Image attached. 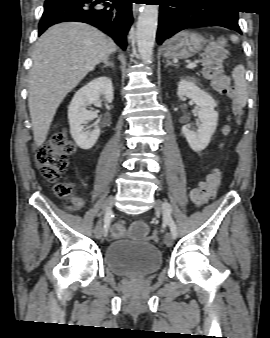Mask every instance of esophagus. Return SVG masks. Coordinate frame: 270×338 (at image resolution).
Returning a JSON list of instances; mask_svg holds the SVG:
<instances>
[{
	"mask_svg": "<svg viewBox=\"0 0 270 338\" xmlns=\"http://www.w3.org/2000/svg\"><path fill=\"white\" fill-rule=\"evenodd\" d=\"M132 10H133V15L136 16L139 12V5L136 3H133Z\"/></svg>",
	"mask_w": 270,
	"mask_h": 338,
	"instance_id": "34e87169",
	"label": "esophagus"
}]
</instances>
